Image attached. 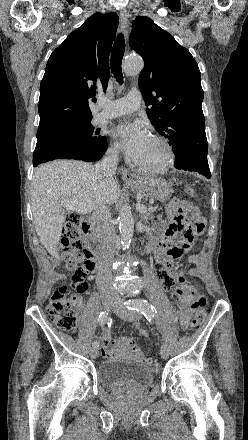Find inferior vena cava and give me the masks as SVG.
<instances>
[{"label":"inferior vena cava","mask_w":248,"mask_h":440,"mask_svg":"<svg viewBox=\"0 0 248 440\" xmlns=\"http://www.w3.org/2000/svg\"><path fill=\"white\" fill-rule=\"evenodd\" d=\"M117 161V151L109 152L102 161L95 165V173L103 177H112L117 169ZM90 220L102 241V249L99 256L100 280L110 281L112 279L110 265L115 253L117 235L111 220L109 206L102 205L96 208ZM113 295L118 297L114 292Z\"/></svg>","instance_id":"inferior-vena-cava-1"}]
</instances>
